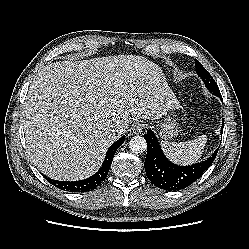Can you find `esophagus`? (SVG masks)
Here are the masks:
<instances>
[{"instance_id": "1", "label": "esophagus", "mask_w": 249, "mask_h": 249, "mask_svg": "<svg viewBox=\"0 0 249 249\" xmlns=\"http://www.w3.org/2000/svg\"><path fill=\"white\" fill-rule=\"evenodd\" d=\"M144 128V124L142 122H137L132 126V132L134 134H140L142 133Z\"/></svg>"}]
</instances>
